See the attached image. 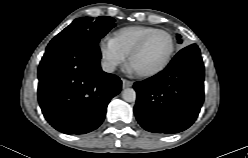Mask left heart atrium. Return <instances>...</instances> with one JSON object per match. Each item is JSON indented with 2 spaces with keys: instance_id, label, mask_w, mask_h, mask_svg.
Here are the masks:
<instances>
[{
  "instance_id": "39dd6f15",
  "label": "left heart atrium",
  "mask_w": 248,
  "mask_h": 158,
  "mask_svg": "<svg viewBox=\"0 0 248 158\" xmlns=\"http://www.w3.org/2000/svg\"><path fill=\"white\" fill-rule=\"evenodd\" d=\"M129 70H130V71H135V69L133 68L132 65L129 66Z\"/></svg>"
}]
</instances>
